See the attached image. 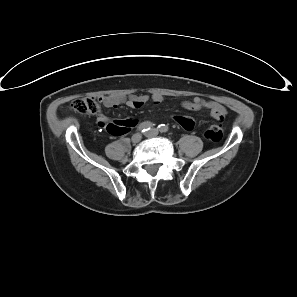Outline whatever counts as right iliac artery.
Listing matches in <instances>:
<instances>
[{
  "instance_id": "right-iliac-artery-1",
  "label": "right iliac artery",
  "mask_w": 297,
  "mask_h": 297,
  "mask_svg": "<svg viewBox=\"0 0 297 297\" xmlns=\"http://www.w3.org/2000/svg\"><path fill=\"white\" fill-rule=\"evenodd\" d=\"M153 123L149 122V121H145L142 122L139 126H138V130L141 132H146L148 130L151 129V127H153Z\"/></svg>"
}]
</instances>
